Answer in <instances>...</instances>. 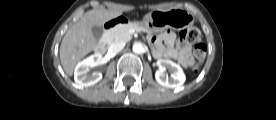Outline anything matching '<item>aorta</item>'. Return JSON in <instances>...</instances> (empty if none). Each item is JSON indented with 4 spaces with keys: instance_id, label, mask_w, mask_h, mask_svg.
<instances>
[{
    "instance_id": "762f6f07",
    "label": "aorta",
    "mask_w": 276,
    "mask_h": 120,
    "mask_svg": "<svg viewBox=\"0 0 276 120\" xmlns=\"http://www.w3.org/2000/svg\"><path fill=\"white\" fill-rule=\"evenodd\" d=\"M132 49H133V52L136 54L143 53L144 51V47L141 43H134Z\"/></svg>"
}]
</instances>
